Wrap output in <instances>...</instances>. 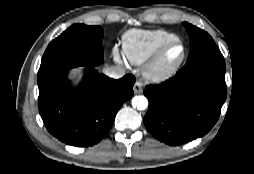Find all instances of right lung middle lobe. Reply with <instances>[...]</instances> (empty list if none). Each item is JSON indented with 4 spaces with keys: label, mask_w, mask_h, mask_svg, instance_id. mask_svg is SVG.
I'll list each match as a JSON object with an SVG mask.
<instances>
[{
    "label": "right lung middle lobe",
    "mask_w": 254,
    "mask_h": 174,
    "mask_svg": "<svg viewBox=\"0 0 254 174\" xmlns=\"http://www.w3.org/2000/svg\"><path fill=\"white\" fill-rule=\"evenodd\" d=\"M103 29L74 24L54 39L42 57L38 81L64 67L99 65L103 61Z\"/></svg>",
    "instance_id": "dd1d6c3e"
}]
</instances>
